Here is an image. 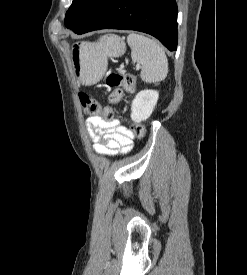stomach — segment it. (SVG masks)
<instances>
[{
	"mask_svg": "<svg viewBox=\"0 0 247 275\" xmlns=\"http://www.w3.org/2000/svg\"><path fill=\"white\" fill-rule=\"evenodd\" d=\"M108 45L103 47L97 43L81 44L72 52V69L78 82L81 84H94L98 82L106 72L108 57H119L126 50L123 39L116 35H108Z\"/></svg>",
	"mask_w": 247,
	"mask_h": 275,
	"instance_id": "stomach-1",
	"label": "stomach"
}]
</instances>
